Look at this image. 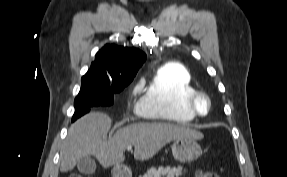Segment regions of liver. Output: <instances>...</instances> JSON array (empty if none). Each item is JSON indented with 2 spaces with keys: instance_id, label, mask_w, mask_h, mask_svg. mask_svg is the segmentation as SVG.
Listing matches in <instances>:
<instances>
[{
  "instance_id": "liver-1",
  "label": "liver",
  "mask_w": 287,
  "mask_h": 177,
  "mask_svg": "<svg viewBox=\"0 0 287 177\" xmlns=\"http://www.w3.org/2000/svg\"><path fill=\"white\" fill-rule=\"evenodd\" d=\"M111 118L101 112H91L72 124L60 151V171H71L78 160L95 156L103 167L124 162L127 146H134L136 160H148L171 141L191 137L202 139L203 134L187 126L171 123H134L120 128L107 140Z\"/></svg>"
}]
</instances>
